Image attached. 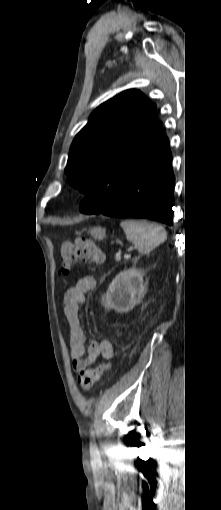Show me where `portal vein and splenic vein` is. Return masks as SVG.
Here are the masks:
<instances>
[{
  "instance_id": "1",
  "label": "portal vein and splenic vein",
  "mask_w": 221,
  "mask_h": 510,
  "mask_svg": "<svg viewBox=\"0 0 221 510\" xmlns=\"http://www.w3.org/2000/svg\"><path fill=\"white\" fill-rule=\"evenodd\" d=\"M115 260H116V261L121 260V255H116V256H115Z\"/></svg>"
}]
</instances>
